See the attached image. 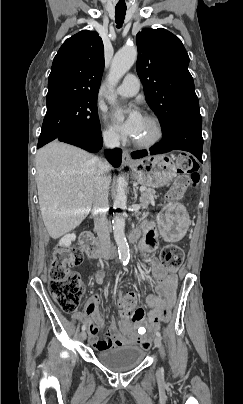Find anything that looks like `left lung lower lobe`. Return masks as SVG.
<instances>
[{
	"label": "left lung lower lobe",
	"mask_w": 243,
	"mask_h": 404,
	"mask_svg": "<svg viewBox=\"0 0 243 404\" xmlns=\"http://www.w3.org/2000/svg\"><path fill=\"white\" fill-rule=\"evenodd\" d=\"M163 140L155 144L149 151H135L133 159L142 158L148 154H161L171 150H183L192 153L202 162V118L201 116H182L171 122L164 130Z\"/></svg>",
	"instance_id": "left-lung-lower-lobe-1"
}]
</instances>
